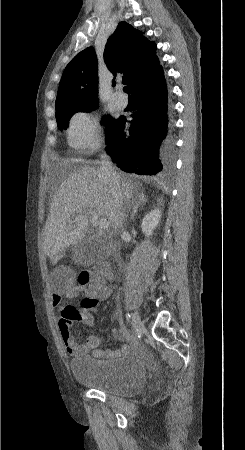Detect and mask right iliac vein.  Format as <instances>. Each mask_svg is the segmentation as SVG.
<instances>
[{
	"label": "right iliac vein",
	"mask_w": 245,
	"mask_h": 450,
	"mask_svg": "<svg viewBox=\"0 0 245 450\" xmlns=\"http://www.w3.org/2000/svg\"><path fill=\"white\" fill-rule=\"evenodd\" d=\"M141 326V319L137 310L132 315V328L135 330Z\"/></svg>",
	"instance_id": "right-iliac-vein-1"
}]
</instances>
